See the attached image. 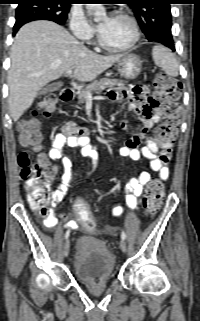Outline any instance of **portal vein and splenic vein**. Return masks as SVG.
Listing matches in <instances>:
<instances>
[{
	"instance_id": "portal-vein-and-splenic-vein-1",
	"label": "portal vein and splenic vein",
	"mask_w": 200,
	"mask_h": 321,
	"mask_svg": "<svg viewBox=\"0 0 200 321\" xmlns=\"http://www.w3.org/2000/svg\"><path fill=\"white\" fill-rule=\"evenodd\" d=\"M66 74H67V75H71V74H72V70H71V69L67 70V71H66ZM102 90H103V89H102ZM87 99H88V100H92V99H93L92 94H88V95H87Z\"/></svg>"
}]
</instances>
